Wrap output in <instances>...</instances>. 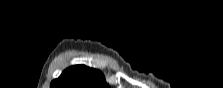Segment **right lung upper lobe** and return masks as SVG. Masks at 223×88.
I'll return each mask as SVG.
<instances>
[{
  "label": "right lung upper lobe",
  "instance_id": "cb5924a9",
  "mask_svg": "<svg viewBox=\"0 0 223 88\" xmlns=\"http://www.w3.org/2000/svg\"><path fill=\"white\" fill-rule=\"evenodd\" d=\"M51 88H109L104 75L93 68L76 65L66 69L58 79L51 83Z\"/></svg>",
  "mask_w": 223,
  "mask_h": 88
}]
</instances>
